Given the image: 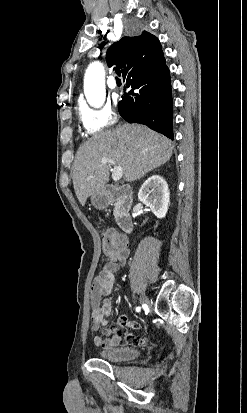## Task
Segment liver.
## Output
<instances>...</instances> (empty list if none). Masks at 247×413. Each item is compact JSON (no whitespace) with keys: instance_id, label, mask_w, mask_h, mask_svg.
<instances>
[{"instance_id":"6515ba94","label":"liver","mask_w":247,"mask_h":413,"mask_svg":"<svg viewBox=\"0 0 247 413\" xmlns=\"http://www.w3.org/2000/svg\"><path fill=\"white\" fill-rule=\"evenodd\" d=\"M172 150L169 138L144 124L124 122L99 130L80 144L75 156L72 178L80 204L84 207L88 196L103 190L109 180L110 164H101V158H113L125 180H137L167 162Z\"/></svg>"}]
</instances>
